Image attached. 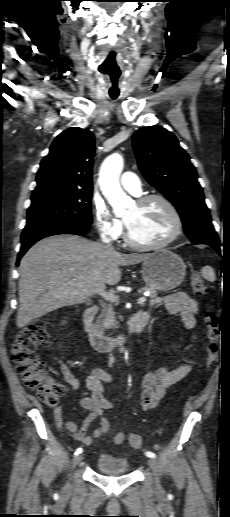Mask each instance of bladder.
Segmentation results:
<instances>
[{
  "label": "bladder",
  "instance_id": "31cf9c89",
  "mask_svg": "<svg viewBox=\"0 0 230 517\" xmlns=\"http://www.w3.org/2000/svg\"><path fill=\"white\" fill-rule=\"evenodd\" d=\"M96 470L109 476L125 475L129 472L128 462L108 453H102L96 460Z\"/></svg>",
  "mask_w": 230,
  "mask_h": 517
}]
</instances>
